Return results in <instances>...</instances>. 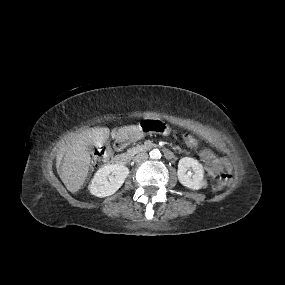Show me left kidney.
Wrapping results in <instances>:
<instances>
[{
	"label": "left kidney",
	"instance_id": "obj_1",
	"mask_svg": "<svg viewBox=\"0 0 285 285\" xmlns=\"http://www.w3.org/2000/svg\"><path fill=\"white\" fill-rule=\"evenodd\" d=\"M177 176L179 182L189 189L199 190L204 187L203 167L193 158L183 157L179 160Z\"/></svg>",
	"mask_w": 285,
	"mask_h": 285
}]
</instances>
